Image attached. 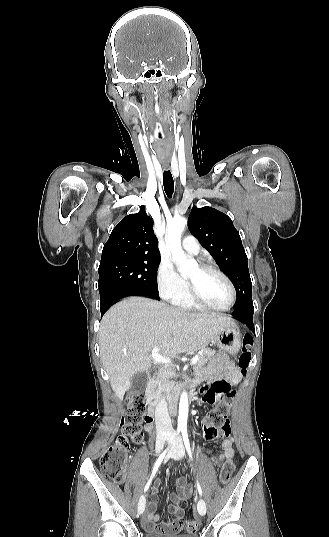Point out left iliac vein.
<instances>
[{
    "label": "left iliac vein",
    "instance_id": "obj_1",
    "mask_svg": "<svg viewBox=\"0 0 329 537\" xmlns=\"http://www.w3.org/2000/svg\"><path fill=\"white\" fill-rule=\"evenodd\" d=\"M170 438V436H168ZM172 439L174 438L173 436H171ZM174 448L176 450V458L179 459L181 457L184 456V445H183V441H182V438L180 436H176L174 438ZM197 510H198V513L201 515V516H204L206 514V503L203 499H200L198 501V504H197Z\"/></svg>",
    "mask_w": 329,
    "mask_h": 537
}]
</instances>
